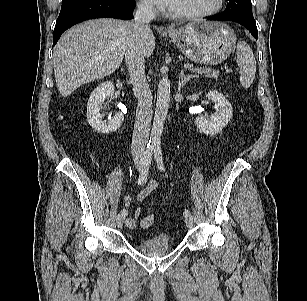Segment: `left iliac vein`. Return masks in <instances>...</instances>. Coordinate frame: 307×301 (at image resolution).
Here are the masks:
<instances>
[{"mask_svg":"<svg viewBox=\"0 0 307 301\" xmlns=\"http://www.w3.org/2000/svg\"><path fill=\"white\" fill-rule=\"evenodd\" d=\"M185 222L188 228H192L194 225V218L193 216L190 214L189 216L185 217Z\"/></svg>","mask_w":307,"mask_h":301,"instance_id":"left-iliac-vein-1","label":"left iliac vein"}]
</instances>
